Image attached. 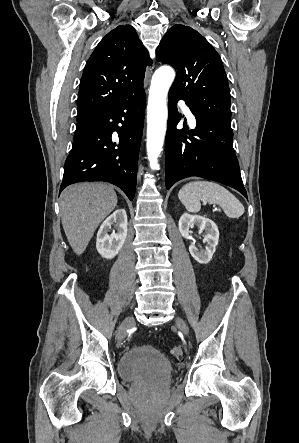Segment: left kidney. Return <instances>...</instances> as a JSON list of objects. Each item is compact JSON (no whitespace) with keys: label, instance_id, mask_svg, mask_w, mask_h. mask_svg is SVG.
<instances>
[{"label":"left kidney","instance_id":"left-kidney-1","mask_svg":"<svg viewBox=\"0 0 299 443\" xmlns=\"http://www.w3.org/2000/svg\"><path fill=\"white\" fill-rule=\"evenodd\" d=\"M193 226H197L200 231L205 230L206 235L204 237V242H206L207 245L205 246V250L199 251L195 243H191L189 246V252L197 262H199L200 264H207L212 259V256L216 250V246L218 244V227L209 218L184 213L180 217L178 223L181 235L186 239H190L189 229Z\"/></svg>","mask_w":299,"mask_h":443}]
</instances>
